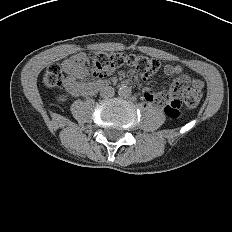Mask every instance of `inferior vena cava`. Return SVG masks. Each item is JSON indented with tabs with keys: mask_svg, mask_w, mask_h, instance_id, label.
<instances>
[{
	"mask_svg": "<svg viewBox=\"0 0 232 232\" xmlns=\"http://www.w3.org/2000/svg\"><path fill=\"white\" fill-rule=\"evenodd\" d=\"M115 94V90L111 86H104L100 90V96L103 98H111Z\"/></svg>",
	"mask_w": 232,
	"mask_h": 232,
	"instance_id": "602c4592",
	"label": "inferior vena cava"
}]
</instances>
